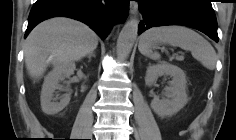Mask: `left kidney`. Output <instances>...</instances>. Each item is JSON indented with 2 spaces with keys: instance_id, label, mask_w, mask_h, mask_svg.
Listing matches in <instances>:
<instances>
[{
  "instance_id": "5707ae66",
  "label": "left kidney",
  "mask_w": 236,
  "mask_h": 140,
  "mask_svg": "<svg viewBox=\"0 0 236 140\" xmlns=\"http://www.w3.org/2000/svg\"><path fill=\"white\" fill-rule=\"evenodd\" d=\"M167 75L172 77L169 87H166L168 99L160 100L154 96L151 101V108L161 117L171 116L180 111L187 104L186 94V75L179 67L167 62H161L156 65H150L147 68L145 83L151 86L158 77Z\"/></svg>"
}]
</instances>
